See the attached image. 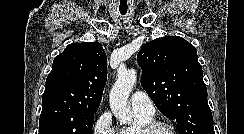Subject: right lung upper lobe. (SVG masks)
<instances>
[{
  "mask_svg": "<svg viewBox=\"0 0 244 134\" xmlns=\"http://www.w3.org/2000/svg\"><path fill=\"white\" fill-rule=\"evenodd\" d=\"M106 62L105 51L98 42L69 44L53 61L42 104L59 101L98 109L107 80Z\"/></svg>",
  "mask_w": 244,
  "mask_h": 134,
  "instance_id": "1",
  "label": "right lung upper lobe"
}]
</instances>
